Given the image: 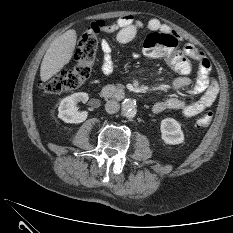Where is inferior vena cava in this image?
<instances>
[{
    "instance_id": "602c4592",
    "label": "inferior vena cava",
    "mask_w": 233,
    "mask_h": 233,
    "mask_svg": "<svg viewBox=\"0 0 233 233\" xmlns=\"http://www.w3.org/2000/svg\"><path fill=\"white\" fill-rule=\"evenodd\" d=\"M119 103L115 100H110L105 104V110L109 114H114L119 110Z\"/></svg>"
}]
</instances>
